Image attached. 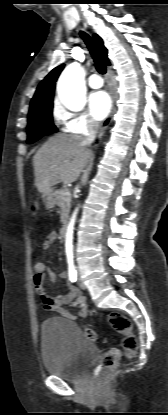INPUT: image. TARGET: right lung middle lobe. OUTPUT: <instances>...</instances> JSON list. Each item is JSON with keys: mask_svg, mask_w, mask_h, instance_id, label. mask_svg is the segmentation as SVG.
Here are the masks:
<instances>
[{"mask_svg": "<svg viewBox=\"0 0 168 415\" xmlns=\"http://www.w3.org/2000/svg\"><path fill=\"white\" fill-rule=\"evenodd\" d=\"M53 103L37 108L28 115V140L31 144L41 137L57 132L52 120Z\"/></svg>", "mask_w": 168, "mask_h": 415, "instance_id": "1", "label": "right lung middle lobe"}]
</instances>
